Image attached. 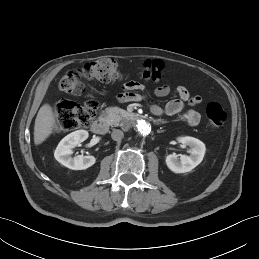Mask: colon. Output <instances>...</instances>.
<instances>
[{
  "label": "colon",
  "instance_id": "obj_1",
  "mask_svg": "<svg viewBox=\"0 0 259 259\" xmlns=\"http://www.w3.org/2000/svg\"><path fill=\"white\" fill-rule=\"evenodd\" d=\"M142 78L148 81H159L162 78L161 67L157 64L148 65L142 72ZM84 79L109 83L122 80L123 75L117 61L101 58L65 73L59 80V89L67 94L83 95L86 92ZM98 108V101L91 95L87 96L83 104L71 101L60 102L56 109L59 129L72 131L88 125L96 116ZM206 115L213 128H221L225 124L226 113L217 102L208 103Z\"/></svg>",
  "mask_w": 259,
  "mask_h": 259
}]
</instances>
